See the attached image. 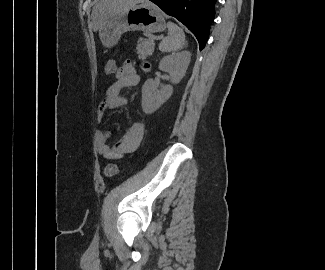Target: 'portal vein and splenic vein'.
<instances>
[{"mask_svg": "<svg viewBox=\"0 0 325 270\" xmlns=\"http://www.w3.org/2000/svg\"><path fill=\"white\" fill-rule=\"evenodd\" d=\"M151 42L154 44V39H151Z\"/></svg>", "mask_w": 325, "mask_h": 270, "instance_id": "1", "label": "portal vein and splenic vein"}]
</instances>
